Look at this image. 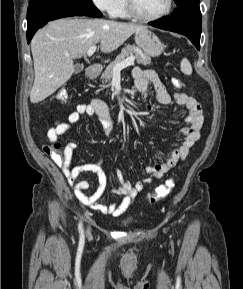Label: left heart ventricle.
<instances>
[{
  "mask_svg": "<svg viewBox=\"0 0 243 289\" xmlns=\"http://www.w3.org/2000/svg\"><path fill=\"white\" fill-rule=\"evenodd\" d=\"M137 9L146 16L162 13L167 8L168 0H134Z\"/></svg>",
  "mask_w": 243,
  "mask_h": 289,
  "instance_id": "1",
  "label": "left heart ventricle"
}]
</instances>
